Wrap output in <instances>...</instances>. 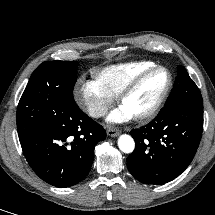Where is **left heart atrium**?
I'll list each match as a JSON object with an SVG mask.
<instances>
[{
	"instance_id": "left-heart-atrium-1",
	"label": "left heart atrium",
	"mask_w": 215,
	"mask_h": 215,
	"mask_svg": "<svg viewBox=\"0 0 215 215\" xmlns=\"http://www.w3.org/2000/svg\"><path fill=\"white\" fill-rule=\"evenodd\" d=\"M131 117L130 113L123 107H119L112 111L107 120L110 123H121L128 120Z\"/></svg>"
}]
</instances>
